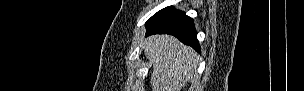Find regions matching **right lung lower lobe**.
Segmentation results:
<instances>
[{
  "mask_svg": "<svg viewBox=\"0 0 304 91\" xmlns=\"http://www.w3.org/2000/svg\"><path fill=\"white\" fill-rule=\"evenodd\" d=\"M147 33L170 34L177 37L181 42L193 47L200 52L197 32L193 20L182 11L175 10L172 6L164 8L152 16L146 23Z\"/></svg>",
  "mask_w": 304,
  "mask_h": 91,
  "instance_id": "right-lung-lower-lobe-1",
  "label": "right lung lower lobe"
}]
</instances>
